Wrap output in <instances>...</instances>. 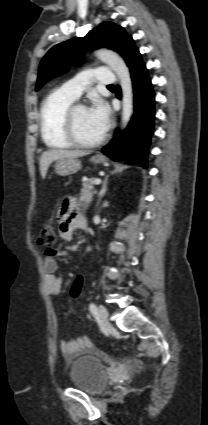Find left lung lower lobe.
<instances>
[{
    "instance_id": "left-lung-lower-lobe-1",
    "label": "left lung lower lobe",
    "mask_w": 208,
    "mask_h": 425,
    "mask_svg": "<svg viewBox=\"0 0 208 425\" xmlns=\"http://www.w3.org/2000/svg\"><path fill=\"white\" fill-rule=\"evenodd\" d=\"M134 89L135 114L128 127L122 133H116L114 139L101 152L114 160H119L120 149H128L127 162L147 167V154L154 124V93L145 64L138 57L129 67ZM117 98L121 99V90L117 86Z\"/></svg>"
}]
</instances>
